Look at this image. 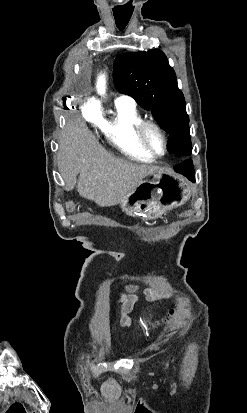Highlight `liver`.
<instances>
[{"instance_id":"obj_1","label":"liver","mask_w":247,"mask_h":413,"mask_svg":"<svg viewBox=\"0 0 247 413\" xmlns=\"http://www.w3.org/2000/svg\"><path fill=\"white\" fill-rule=\"evenodd\" d=\"M58 168L65 190L76 184L80 196L90 198L101 207L118 204L145 176L159 166L138 164L115 156L98 142L84 118L65 124L59 138Z\"/></svg>"}]
</instances>
